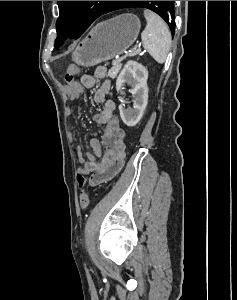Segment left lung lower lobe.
<instances>
[{
  "label": "left lung lower lobe",
  "instance_id": "1",
  "mask_svg": "<svg viewBox=\"0 0 237 300\" xmlns=\"http://www.w3.org/2000/svg\"><path fill=\"white\" fill-rule=\"evenodd\" d=\"M167 1H160V5L163 6L166 4ZM122 1H112L109 6L106 8L105 13L121 9ZM175 30L173 31L174 35Z\"/></svg>",
  "mask_w": 237,
  "mask_h": 300
}]
</instances>
